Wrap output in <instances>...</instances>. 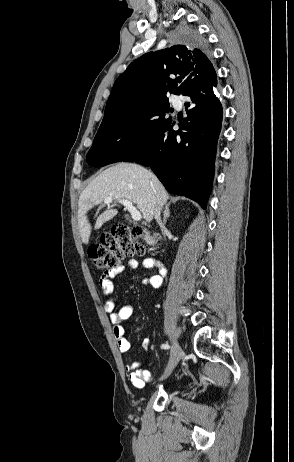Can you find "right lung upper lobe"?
Segmentation results:
<instances>
[{
    "instance_id": "1",
    "label": "right lung upper lobe",
    "mask_w": 294,
    "mask_h": 462,
    "mask_svg": "<svg viewBox=\"0 0 294 462\" xmlns=\"http://www.w3.org/2000/svg\"><path fill=\"white\" fill-rule=\"evenodd\" d=\"M213 76L216 72L204 49L175 45L149 52L133 61L116 79L104 117L146 100L164 98L167 92L183 94Z\"/></svg>"
}]
</instances>
